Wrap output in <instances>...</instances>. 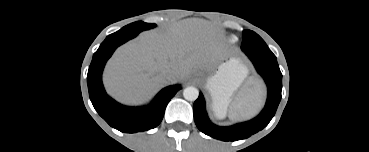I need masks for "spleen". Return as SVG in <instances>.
<instances>
[{
  "label": "spleen",
  "instance_id": "3e777b00",
  "mask_svg": "<svg viewBox=\"0 0 369 152\" xmlns=\"http://www.w3.org/2000/svg\"><path fill=\"white\" fill-rule=\"evenodd\" d=\"M263 103L264 91L261 88L245 92L232 105L229 118L232 120L248 119L258 112ZM215 115L218 117L216 113Z\"/></svg>",
  "mask_w": 369,
  "mask_h": 152
}]
</instances>
